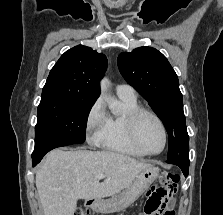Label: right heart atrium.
<instances>
[{"label": "right heart atrium", "mask_w": 223, "mask_h": 215, "mask_svg": "<svg viewBox=\"0 0 223 215\" xmlns=\"http://www.w3.org/2000/svg\"><path fill=\"white\" fill-rule=\"evenodd\" d=\"M108 123L107 112L101 100H96L89 109L85 128L92 132L91 140L98 142Z\"/></svg>", "instance_id": "1"}]
</instances>
